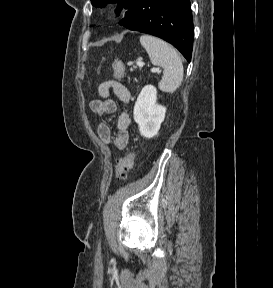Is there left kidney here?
Wrapping results in <instances>:
<instances>
[{
    "instance_id": "5707ae66",
    "label": "left kidney",
    "mask_w": 273,
    "mask_h": 288,
    "mask_svg": "<svg viewBox=\"0 0 273 288\" xmlns=\"http://www.w3.org/2000/svg\"><path fill=\"white\" fill-rule=\"evenodd\" d=\"M156 101V88L153 85H146L142 88L134 106V121L138 124L140 134L148 139L157 135L165 118L166 108Z\"/></svg>"
}]
</instances>
